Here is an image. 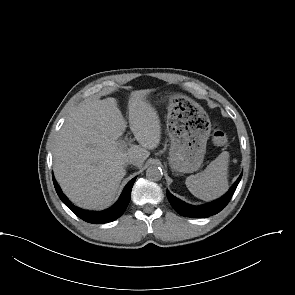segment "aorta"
Returning a JSON list of instances; mask_svg holds the SVG:
<instances>
[{
	"label": "aorta",
	"instance_id": "1",
	"mask_svg": "<svg viewBox=\"0 0 295 295\" xmlns=\"http://www.w3.org/2000/svg\"><path fill=\"white\" fill-rule=\"evenodd\" d=\"M163 176L162 169L155 165L149 166L146 170V177L151 181H159Z\"/></svg>",
	"mask_w": 295,
	"mask_h": 295
}]
</instances>
